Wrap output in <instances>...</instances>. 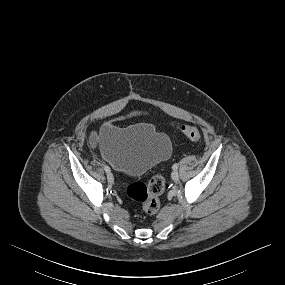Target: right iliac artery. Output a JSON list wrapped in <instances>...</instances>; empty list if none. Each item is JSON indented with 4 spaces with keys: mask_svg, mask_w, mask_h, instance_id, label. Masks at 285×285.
<instances>
[{
    "mask_svg": "<svg viewBox=\"0 0 285 285\" xmlns=\"http://www.w3.org/2000/svg\"><path fill=\"white\" fill-rule=\"evenodd\" d=\"M104 170H105L107 173L110 172V168H109L107 165L104 166Z\"/></svg>",
    "mask_w": 285,
    "mask_h": 285,
    "instance_id": "82829eb1",
    "label": "right iliac artery"
}]
</instances>
